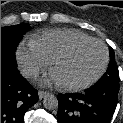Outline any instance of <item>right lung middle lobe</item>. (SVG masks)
Instances as JSON below:
<instances>
[{"mask_svg":"<svg viewBox=\"0 0 123 123\" xmlns=\"http://www.w3.org/2000/svg\"><path fill=\"white\" fill-rule=\"evenodd\" d=\"M28 29L27 23L1 27V59L16 64L14 58L15 50Z\"/></svg>","mask_w":123,"mask_h":123,"instance_id":"dd1d6c3e","label":"right lung middle lobe"}]
</instances>
